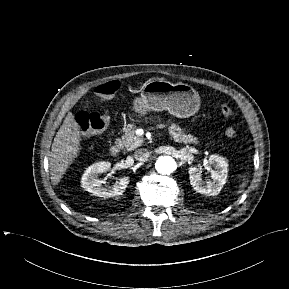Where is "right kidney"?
I'll use <instances>...</instances> for the list:
<instances>
[{"label": "right kidney", "mask_w": 289, "mask_h": 289, "mask_svg": "<svg viewBox=\"0 0 289 289\" xmlns=\"http://www.w3.org/2000/svg\"><path fill=\"white\" fill-rule=\"evenodd\" d=\"M110 167L111 163L108 161L92 164L85 170L81 178V186L98 197L110 198L122 195L129 183V177L120 178L115 185L108 188L103 187V181L98 179V174L108 171Z\"/></svg>", "instance_id": "1"}]
</instances>
